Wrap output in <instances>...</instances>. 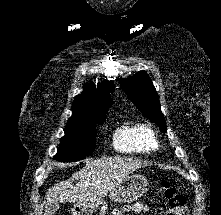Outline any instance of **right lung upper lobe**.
I'll use <instances>...</instances> for the list:
<instances>
[{"instance_id":"right-lung-upper-lobe-1","label":"right lung upper lobe","mask_w":221,"mask_h":215,"mask_svg":"<svg viewBox=\"0 0 221 215\" xmlns=\"http://www.w3.org/2000/svg\"><path fill=\"white\" fill-rule=\"evenodd\" d=\"M114 88L112 81L97 85V89L92 84L86 86L83 92L75 97L72 117L91 120L106 118V113L113 103L110 92H113Z\"/></svg>"}]
</instances>
